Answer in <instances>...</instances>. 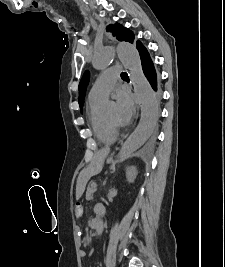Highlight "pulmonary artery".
I'll return each instance as SVG.
<instances>
[{
  "mask_svg": "<svg viewBox=\"0 0 225 267\" xmlns=\"http://www.w3.org/2000/svg\"><path fill=\"white\" fill-rule=\"evenodd\" d=\"M120 65H113L105 70L95 81L89 92V99L103 100L112 90L117 79L120 77Z\"/></svg>",
  "mask_w": 225,
  "mask_h": 267,
  "instance_id": "e3ab8cb5",
  "label": "pulmonary artery"
}]
</instances>
